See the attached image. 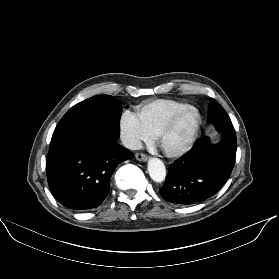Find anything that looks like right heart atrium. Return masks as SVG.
I'll return each instance as SVG.
<instances>
[{
    "label": "right heart atrium",
    "instance_id": "obj_1",
    "mask_svg": "<svg viewBox=\"0 0 279 279\" xmlns=\"http://www.w3.org/2000/svg\"><path fill=\"white\" fill-rule=\"evenodd\" d=\"M119 130L124 144L130 149H137L142 143L151 140L138 116L129 110L122 113L119 119Z\"/></svg>",
    "mask_w": 279,
    "mask_h": 279
}]
</instances>
